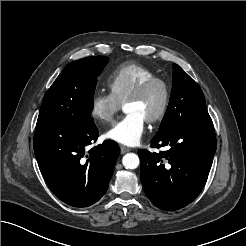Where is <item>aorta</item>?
Instances as JSON below:
<instances>
[{
	"mask_svg": "<svg viewBox=\"0 0 246 246\" xmlns=\"http://www.w3.org/2000/svg\"><path fill=\"white\" fill-rule=\"evenodd\" d=\"M139 163V157L135 153H127L122 158V164L126 169H136Z\"/></svg>",
	"mask_w": 246,
	"mask_h": 246,
	"instance_id": "aorta-1",
	"label": "aorta"
}]
</instances>
